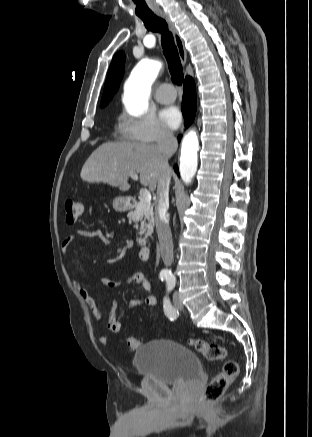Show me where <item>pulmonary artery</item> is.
I'll list each match as a JSON object with an SVG mask.
<instances>
[{"mask_svg": "<svg viewBox=\"0 0 312 437\" xmlns=\"http://www.w3.org/2000/svg\"><path fill=\"white\" fill-rule=\"evenodd\" d=\"M155 99L160 103H171L176 99V93L170 84H162L156 90Z\"/></svg>", "mask_w": 312, "mask_h": 437, "instance_id": "1", "label": "pulmonary artery"}]
</instances>
